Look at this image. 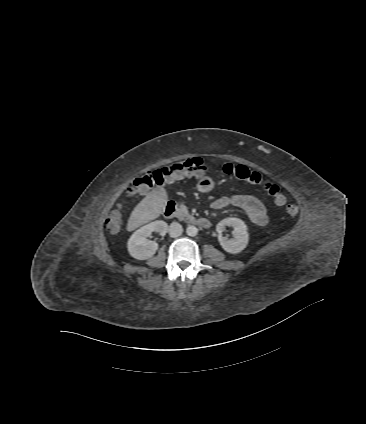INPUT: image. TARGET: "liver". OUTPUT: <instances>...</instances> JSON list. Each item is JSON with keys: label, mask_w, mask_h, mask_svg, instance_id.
Returning <instances> with one entry per match:
<instances>
[{"label": "liver", "mask_w": 366, "mask_h": 424, "mask_svg": "<svg viewBox=\"0 0 366 424\" xmlns=\"http://www.w3.org/2000/svg\"><path fill=\"white\" fill-rule=\"evenodd\" d=\"M168 196L164 188L153 189L132 211L127 231H133L141 225L156 219L163 212Z\"/></svg>", "instance_id": "6515ba94"}]
</instances>
